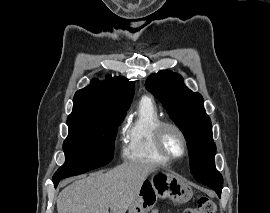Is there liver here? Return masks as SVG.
Wrapping results in <instances>:
<instances>
[{
  "label": "liver",
  "instance_id": "1",
  "mask_svg": "<svg viewBox=\"0 0 270 213\" xmlns=\"http://www.w3.org/2000/svg\"><path fill=\"white\" fill-rule=\"evenodd\" d=\"M157 166L123 163L102 174L74 181L57 197L58 213H126L137 198L142 184Z\"/></svg>",
  "mask_w": 270,
  "mask_h": 213
}]
</instances>
